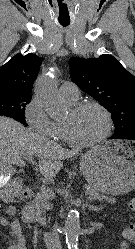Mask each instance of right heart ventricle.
<instances>
[{"label":"right heart ventricle","mask_w":135,"mask_h":249,"mask_svg":"<svg viewBox=\"0 0 135 249\" xmlns=\"http://www.w3.org/2000/svg\"><path fill=\"white\" fill-rule=\"evenodd\" d=\"M68 101V100H67ZM70 102L71 104H74L75 102H72V101H68ZM55 137L60 139V140H63V141H68V138H67V135H66V132H65V128H64V123L62 122H58V123H55Z\"/></svg>","instance_id":"e07e8e85"}]
</instances>
